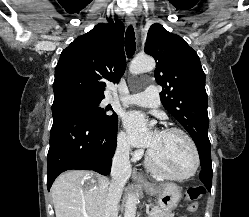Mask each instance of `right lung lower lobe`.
Segmentation results:
<instances>
[{
  "label": "right lung lower lobe",
  "instance_id": "1",
  "mask_svg": "<svg viewBox=\"0 0 249 217\" xmlns=\"http://www.w3.org/2000/svg\"><path fill=\"white\" fill-rule=\"evenodd\" d=\"M52 114L47 156L48 190L55 178L66 170H94L108 175L116 149L117 126H97L66 104H53Z\"/></svg>",
  "mask_w": 249,
  "mask_h": 217
}]
</instances>
